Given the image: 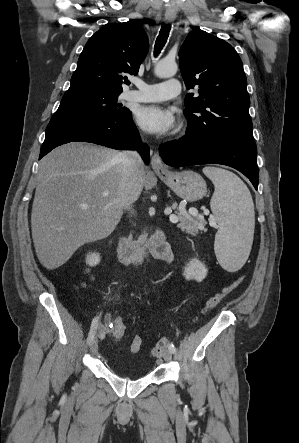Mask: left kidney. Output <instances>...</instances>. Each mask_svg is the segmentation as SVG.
Masks as SVG:
<instances>
[{"label": "left kidney", "mask_w": 299, "mask_h": 443, "mask_svg": "<svg viewBox=\"0 0 299 443\" xmlns=\"http://www.w3.org/2000/svg\"><path fill=\"white\" fill-rule=\"evenodd\" d=\"M205 264L198 259H191L184 268L183 275L187 280H196L201 282L207 275Z\"/></svg>", "instance_id": "1"}]
</instances>
